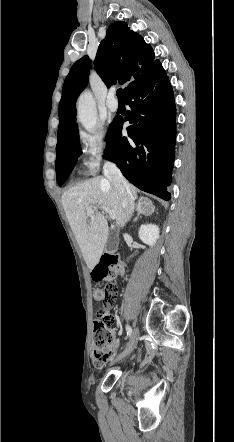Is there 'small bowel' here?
Wrapping results in <instances>:
<instances>
[{"instance_id":"1","label":"small bowel","mask_w":234,"mask_h":442,"mask_svg":"<svg viewBox=\"0 0 234 442\" xmlns=\"http://www.w3.org/2000/svg\"><path fill=\"white\" fill-rule=\"evenodd\" d=\"M115 316L114 314H99L97 319H94L93 326L94 328H113L115 325Z\"/></svg>"}]
</instances>
